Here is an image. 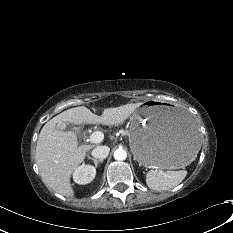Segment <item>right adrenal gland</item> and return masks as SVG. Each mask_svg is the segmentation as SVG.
<instances>
[{"mask_svg":"<svg viewBox=\"0 0 233 233\" xmlns=\"http://www.w3.org/2000/svg\"><path fill=\"white\" fill-rule=\"evenodd\" d=\"M88 159H91L94 162L96 167H97L98 163L103 162V160H101V159L98 160V159H95V158H92V157H89V156H88Z\"/></svg>","mask_w":233,"mask_h":233,"instance_id":"right-adrenal-gland-1","label":"right adrenal gland"}]
</instances>
